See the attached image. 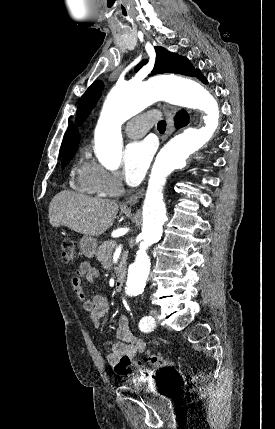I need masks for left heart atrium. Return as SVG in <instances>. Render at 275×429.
<instances>
[{"instance_id": "left-heart-atrium-1", "label": "left heart atrium", "mask_w": 275, "mask_h": 429, "mask_svg": "<svg viewBox=\"0 0 275 429\" xmlns=\"http://www.w3.org/2000/svg\"><path fill=\"white\" fill-rule=\"evenodd\" d=\"M154 152L155 145L150 140L132 142L125 148L123 174L129 185L136 186L142 181Z\"/></svg>"}]
</instances>
